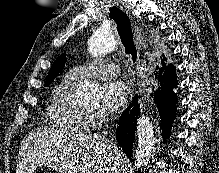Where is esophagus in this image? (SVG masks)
Returning a JSON list of instances; mask_svg holds the SVG:
<instances>
[{
  "label": "esophagus",
  "mask_w": 219,
  "mask_h": 173,
  "mask_svg": "<svg viewBox=\"0 0 219 173\" xmlns=\"http://www.w3.org/2000/svg\"><path fill=\"white\" fill-rule=\"evenodd\" d=\"M120 7L122 8V6ZM124 10L130 14V12L127 9ZM136 39L139 45L142 47V49L147 48L146 37L138 28L136 29Z\"/></svg>",
  "instance_id": "34e87169"
}]
</instances>
